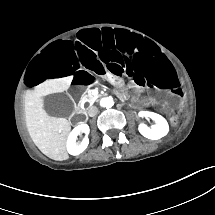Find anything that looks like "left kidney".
I'll use <instances>...</instances> for the list:
<instances>
[{
    "label": "left kidney",
    "mask_w": 215,
    "mask_h": 215,
    "mask_svg": "<svg viewBox=\"0 0 215 215\" xmlns=\"http://www.w3.org/2000/svg\"><path fill=\"white\" fill-rule=\"evenodd\" d=\"M139 117H149L155 121V125L149 128L146 124H139L138 130L141 135L151 140H158L166 136L169 132V125L167 120L154 112L140 111Z\"/></svg>",
    "instance_id": "1"
}]
</instances>
